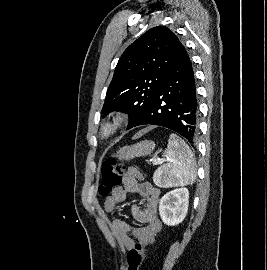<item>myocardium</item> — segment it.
<instances>
[{
	"label": "myocardium",
	"mask_w": 267,
	"mask_h": 270,
	"mask_svg": "<svg viewBox=\"0 0 267 270\" xmlns=\"http://www.w3.org/2000/svg\"><path fill=\"white\" fill-rule=\"evenodd\" d=\"M127 115L117 111L106 117L99 126L98 136L103 140H108L115 136L126 124Z\"/></svg>",
	"instance_id": "1"
}]
</instances>
